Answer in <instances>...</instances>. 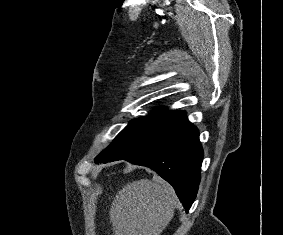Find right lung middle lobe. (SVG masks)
<instances>
[{
  "instance_id": "dd1d6c3e",
  "label": "right lung middle lobe",
  "mask_w": 283,
  "mask_h": 235,
  "mask_svg": "<svg viewBox=\"0 0 283 235\" xmlns=\"http://www.w3.org/2000/svg\"><path fill=\"white\" fill-rule=\"evenodd\" d=\"M185 116L184 111L169 112L160 107L149 116L131 121L96 157V161L122 160L146 150L169 134Z\"/></svg>"
}]
</instances>
